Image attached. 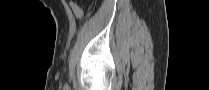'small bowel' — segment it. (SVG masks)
I'll use <instances>...</instances> for the list:
<instances>
[{
  "label": "small bowel",
  "instance_id": "small-bowel-1",
  "mask_svg": "<svg viewBox=\"0 0 209 90\" xmlns=\"http://www.w3.org/2000/svg\"><path fill=\"white\" fill-rule=\"evenodd\" d=\"M69 6L76 17L81 18L83 15L82 9L73 1L69 2Z\"/></svg>",
  "mask_w": 209,
  "mask_h": 90
}]
</instances>
